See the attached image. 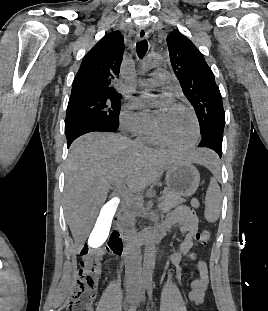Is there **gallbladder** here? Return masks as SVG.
Here are the masks:
<instances>
[{"label": "gallbladder", "instance_id": "obj_1", "mask_svg": "<svg viewBox=\"0 0 268 311\" xmlns=\"http://www.w3.org/2000/svg\"><path fill=\"white\" fill-rule=\"evenodd\" d=\"M120 203V199H108L101 205L96 227H92V232L89 234V244L93 249L103 246L104 239H108V234H111V221L114 219Z\"/></svg>", "mask_w": 268, "mask_h": 311}]
</instances>
